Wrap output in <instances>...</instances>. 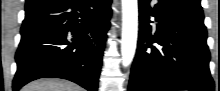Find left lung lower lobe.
<instances>
[{
	"mask_svg": "<svg viewBox=\"0 0 220 91\" xmlns=\"http://www.w3.org/2000/svg\"><path fill=\"white\" fill-rule=\"evenodd\" d=\"M139 0V39L128 91H213L202 8ZM155 17L156 30L150 25Z\"/></svg>",
	"mask_w": 220,
	"mask_h": 91,
	"instance_id": "left-lung-lower-lobe-1",
	"label": "left lung lower lobe"
}]
</instances>
